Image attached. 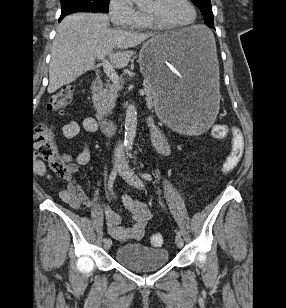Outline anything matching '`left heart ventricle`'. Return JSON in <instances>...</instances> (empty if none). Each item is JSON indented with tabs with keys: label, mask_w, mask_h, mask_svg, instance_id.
Listing matches in <instances>:
<instances>
[{
	"label": "left heart ventricle",
	"mask_w": 286,
	"mask_h": 308,
	"mask_svg": "<svg viewBox=\"0 0 286 308\" xmlns=\"http://www.w3.org/2000/svg\"><path fill=\"white\" fill-rule=\"evenodd\" d=\"M143 9L171 24H185L193 18V12L185 0H150Z\"/></svg>",
	"instance_id": "b2bd125f"
}]
</instances>
